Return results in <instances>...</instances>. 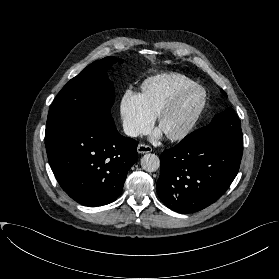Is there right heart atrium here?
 <instances>
[{"label":"right heart atrium","instance_id":"d8ad5b80","mask_svg":"<svg viewBox=\"0 0 279 279\" xmlns=\"http://www.w3.org/2000/svg\"><path fill=\"white\" fill-rule=\"evenodd\" d=\"M119 116L123 131L132 138L146 133L154 122L141 95L131 90H126L120 98Z\"/></svg>","mask_w":279,"mask_h":279}]
</instances>
